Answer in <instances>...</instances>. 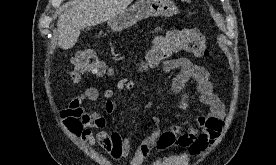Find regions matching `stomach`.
<instances>
[{
	"label": "stomach",
	"mask_w": 276,
	"mask_h": 165,
	"mask_svg": "<svg viewBox=\"0 0 276 165\" xmlns=\"http://www.w3.org/2000/svg\"><path fill=\"white\" fill-rule=\"evenodd\" d=\"M178 13V7L171 0H138L108 21V25L112 31L120 32L145 18L172 17Z\"/></svg>",
	"instance_id": "1"
}]
</instances>
